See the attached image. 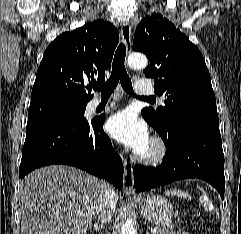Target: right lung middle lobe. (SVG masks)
I'll use <instances>...</instances> for the list:
<instances>
[{
  "instance_id": "obj_1",
  "label": "right lung middle lobe",
  "mask_w": 241,
  "mask_h": 234,
  "mask_svg": "<svg viewBox=\"0 0 241 234\" xmlns=\"http://www.w3.org/2000/svg\"><path fill=\"white\" fill-rule=\"evenodd\" d=\"M86 105L65 101H48L30 105L28 122L48 119L85 120Z\"/></svg>"
}]
</instances>
